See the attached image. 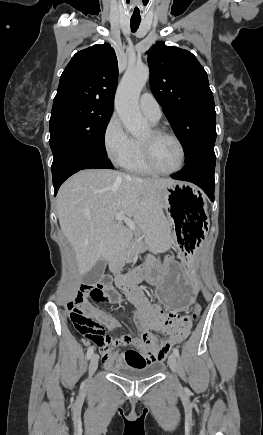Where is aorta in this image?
I'll return each instance as SVG.
<instances>
[{"label": "aorta", "instance_id": "obj_1", "mask_svg": "<svg viewBox=\"0 0 263 435\" xmlns=\"http://www.w3.org/2000/svg\"><path fill=\"white\" fill-rule=\"evenodd\" d=\"M149 78L146 65L136 66L126 71L117 89L115 108L124 127L133 136L145 134L149 127L142 116L138 99L140 92Z\"/></svg>", "mask_w": 263, "mask_h": 435}]
</instances>
